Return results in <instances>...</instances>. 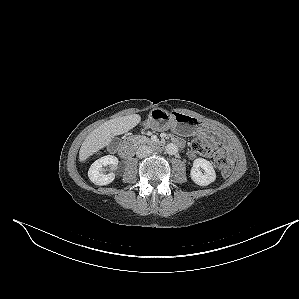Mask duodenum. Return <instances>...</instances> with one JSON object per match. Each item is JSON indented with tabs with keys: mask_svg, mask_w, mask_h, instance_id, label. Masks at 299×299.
Masks as SVG:
<instances>
[{
	"mask_svg": "<svg viewBox=\"0 0 299 299\" xmlns=\"http://www.w3.org/2000/svg\"><path fill=\"white\" fill-rule=\"evenodd\" d=\"M152 147L154 149L161 150L164 147V144L162 142H154L152 144ZM117 151L121 157H124V158L129 157L132 154L133 145L130 142H125L118 146Z\"/></svg>",
	"mask_w": 299,
	"mask_h": 299,
	"instance_id": "duodenum-1",
	"label": "duodenum"
}]
</instances>
